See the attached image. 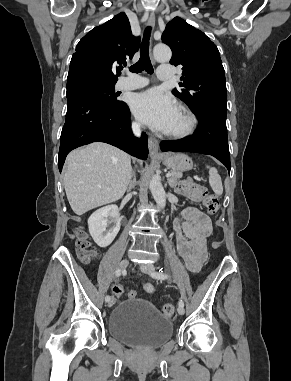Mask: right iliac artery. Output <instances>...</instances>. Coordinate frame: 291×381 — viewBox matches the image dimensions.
I'll return each mask as SVG.
<instances>
[{
    "mask_svg": "<svg viewBox=\"0 0 291 381\" xmlns=\"http://www.w3.org/2000/svg\"><path fill=\"white\" fill-rule=\"evenodd\" d=\"M115 275H116L117 277H119V276L121 275V270H120V269H117L116 272H115ZM105 300L108 302V301L110 300V296L107 295V296L105 297Z\"/></svg>",
    "mask_w": 291,
    "mask_h": 381,
    "instance_id": "1",
    "label": "right iliac artery"
}]
</instances>
